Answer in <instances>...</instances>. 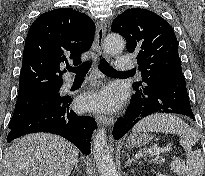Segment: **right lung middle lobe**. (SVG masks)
<instances>
[{
    "label": "right lung middle lobe",
    "instance_id": "1",
    "mask_svg": "<svg viewBox=\"0 0 205 176\" xmlns=\"http://www.w3.org/2000/svg\"><path fill=\"white\" fill-rule=\"evenodd\" d=\"M59 89L60 87L49 88L29 94L27 96L18 97L13 116L9 123V128L12 129L20 124L36 109L48 101L59 98Z\"/></svg>",
    "mask_w": 205,
    "mask_h": 176
}]
</instances>
